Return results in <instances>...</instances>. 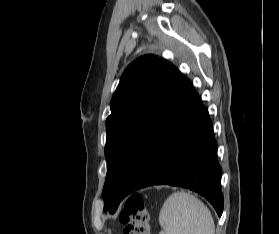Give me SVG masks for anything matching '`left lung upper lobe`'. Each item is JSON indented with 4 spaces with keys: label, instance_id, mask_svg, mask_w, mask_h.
I'll list each match as a JSON object with an SVG mask.
<instances>
[{
    "label": "left lung upper lobe",
    "instance_id": "5c2ea615",
    "mask_svg": "<svg viewBox=\"0 0 279 234\" xmlns=\"http://www.w3.org/2000/svg\"><path fill=\"white\" fill-rule=\"evenodd\" d=\"M176 71L165 59L145 55L123 72L106 120L105 211L114 213L122 201L121 191L139 146Z\"/></svg>",
    "mask_w": 279,
    "mask_h": 234
}]
</instances>
